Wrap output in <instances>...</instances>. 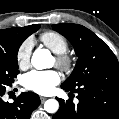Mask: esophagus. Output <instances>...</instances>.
Listing matches in <instances>:
<instances>
[{"label": "esophagus", "instance_id": "obj_1", "mask_svg": "<svg viewBox=\"0 0 119 119\" xmlns=\"http://www.w3.org/2000/svg\"><path fill=\"white\" fill-rule=\"evenodd\" d=\"M40 99H41V101H42V102H44L47 98H46V97L41 96V97H40Z\"/></svg>", "mask_w": 119, "mask_h": 119}]
</instances>
